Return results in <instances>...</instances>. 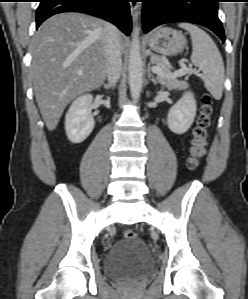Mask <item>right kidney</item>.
<instances>
[{"label": "right kidney", "instance_id": "1", "mask_svg": "<svg viewBox=\"0 0 248 299\" xmlns=\"http://www.w3.org/2000/svg\"><path fill=\"white\" fill-rule=\"evenodd\" d=\"M93 96L84 94L77 97L65 116V131L72 143L83 142L94 129L95 121L91 114Z\"/></svg>", "mask_w": 248, "mask_h": 299}]
</instances>
